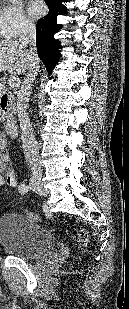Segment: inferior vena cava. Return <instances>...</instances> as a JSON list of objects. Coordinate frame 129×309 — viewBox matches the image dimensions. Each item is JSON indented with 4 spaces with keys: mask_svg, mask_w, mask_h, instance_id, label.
I'll return each instance as SVG.
<instances>
[{
    "mask_svg": "<svg viewBox=\"0 0 129 309\" xmlns=\"http://www.w3.org/2000/svg\"><path fill=\"white\" fill-rule=\"evenodd\" d=\"M19 42L22 46L28 47V56L32 61L30 70L26 73L24 81L17 93V112L20 125L26 130H30V119L27 113V107L30 97V89L35 80L40 67V61L36 49V29L35 25L30 21H24L21 26ZM27 158L32 163V166H38L39 149L34 136L29 135Z\"/></svg>",
    "mask_w": 129,
    "mask_h": 309,
    "instance_id": "602c4592",
    "label": "inferior vena cava"
}]
</instances>
